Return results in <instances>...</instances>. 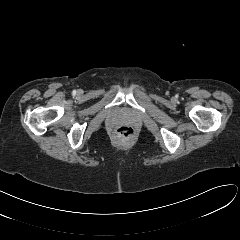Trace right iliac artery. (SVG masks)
Masks as SVG:
<instances>
[{"instance_id": "obj_1", "label": "right iliac artery", "mask_w": 240, "mask_h": 240, "mask_svg": "<svg viewBox=\"0 0 240 240\" xmlns=\"http://www.w3.org/2000/svg\"><path fill=\"white\" fill-rule=\"evenodd\" d=\"M72 93H73V95H75V94H76V91H75V90H73V92H72Z\"/></svg>"}]
</instances>
